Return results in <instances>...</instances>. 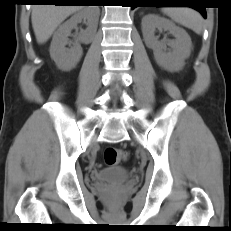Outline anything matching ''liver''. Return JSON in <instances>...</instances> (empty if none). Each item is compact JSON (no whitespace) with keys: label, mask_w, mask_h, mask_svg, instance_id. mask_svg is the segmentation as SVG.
I'll list each match as a JSON object with an SVG mask.
<instances>
[{"label":"liver","mask_w":231,"mask_h":231,"mask_svg":"<svg viewBox=\"0 0 231 231\" xmlns=\"http://www.w3.org/2000/svg\"><path fill=\"white\" fill-rule=\"evenodd\" d=\"M83 8L77 5H34L31 21L37 42L45 43L67 17Z\"/></svg>","instance_id":"liver-1"}]
</instances>
